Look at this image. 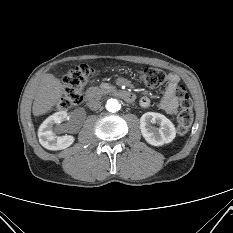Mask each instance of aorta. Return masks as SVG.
<instances>
[{
	"label": "aorta",
	"mask_w": 233,
	"mask_h": 233,
	"mask_svg": "<svg viewBox=\"0 0 233 233\" xmlns=\"http://www.w3.org/2000/svg\"><path fill=\"white\" fill-rule=\"evenodd\" d=\"M121 108V105L119 104L118 100L116 99H109L107 100V103H106V109L109 111V112H117L119 111Z\"/></svg>",
	"instance_id": "aorta-1"
}]
</instances>
